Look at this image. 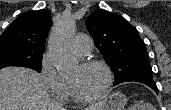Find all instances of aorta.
I'll return each instance as SVG.
<instances>
[{
  "label": "aorta",
  "instance_id": "762f6f07",
  "mask_svg": "<svg viewBox=\"0 0 171 110\" xmlns=\"http://www.w3.org/2000/svg\"><path fill=\"white\" fill-rule=\"evenodd\" d=\"M74 30L75 22L70 18H64L49 39V55L61 75L72 72L76 67V60L71 52Z\"/></svg>",
  "mask_w": 171,
  "mask_h": 110
}]
</instances>
